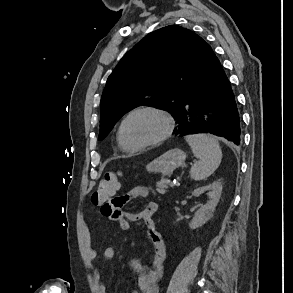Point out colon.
<instances>
[{
	"label": "colon",
	"mask_w": 293,
	"mask_h": 293,
	"mask_svg": "<svg viewBox=\"0 0 293 293\" xmlns=\"http://www.w3.org/2000/svg\"><path fill=\"white\" fill-rule=\"evenodd\" d=\"M121 186V173L119 171L108 172L99 181L91 196L94 207H104L109 203H116L114 194Z\"/></svg>",
	"instance_id": "5ec220e1"
}]
</instances>
